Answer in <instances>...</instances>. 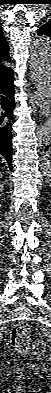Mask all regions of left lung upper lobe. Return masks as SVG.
<instances>
[{"label":"left lung upper lobe","instance_id":"obj_1","mask_svg":"<svg viewBox=\"0 0 51 393\" xmlns=\"http://www.w3.org/2000/svg\"><path fill=\"white\" fill-rule=\"evenodd\" d=\"M38 35L47 36L51 39V20L43 23L38 29Z\"/></svg>","mask_w":51,"mask_h":393}]
</instances>
